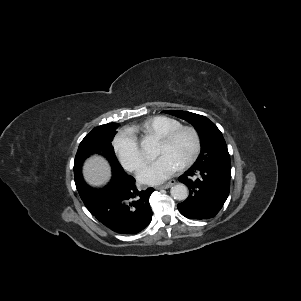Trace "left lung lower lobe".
Masks as SVG:
<instances>
[{
	"label": "left lung lower lobe",
	"mask_w": 301,
	"mask_h": 301,
	"mask_svg": "<svg viewBox=\"0 0 301 301\" xmlns=\"http://www.w3.org/2000/svg\"><path fill=\"white\" fill-rule=\"evenodd\" d=\"M231 168L192 166L179 180L189 189L188 198L178 204L180 213L189 219H209L223 207L230 191Z\"/></svg>",
	"instance_id": "1"
}]
</instances>
